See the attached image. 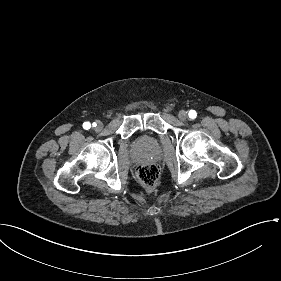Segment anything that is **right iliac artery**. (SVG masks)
<instances>
[{
    "instance_id": "right-iliac-artery-1",
    "label": "right iliac artery",
    "mask_w": 281,
    "mask_h": 281,
    "mask_svg": "<svg viewBox=\"0 0 281 281\" xmlns=\"http://www.w3.org/2000/svg\"><path fill=\"white\" fill-rule=\"evenodd\" d=\"M94 126H96V123H94L93 124ZM83 127H84V129H89L90 127H91V124L89 123V122H85L84 124H83Z\"/></svg>"
}]
</instances>
